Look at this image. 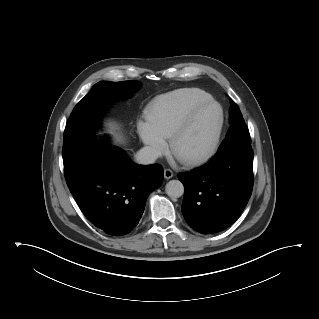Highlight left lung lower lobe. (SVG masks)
<instances>
[{"instance_id": "1", "label": "left lung lower lobe", "mask_w": 319, "mask_h": 319, "mask_svg": "<svg viewBox=\"0 0 319 319\" xmlns=\"http://www.w3.org/2000/svg\"><path fill=\"white\" fill-rule=\"evenodd\" d=\"M252 172L251 146L234 145L218 150L208 164L180 173L185 189L181 210L188 225L202 234L232 225L251 196Z\"/></svg>"}]
</instances>
